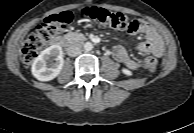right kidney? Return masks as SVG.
<instances>
[{"label":"right kidney","mask_w":194,"mask_h":133,"mask_svg":"<svg viewBox=\"0 0 194 133\" xmlns=\"http://www.w3.org/2000/svg\"><path fill=\"white\" fill-rule=\"evenodd\" d=\"M64 65L63 51L59 45H52L40 53L32 64V74L40 81L57 77Z\"/></svg>","instance_id":"ca27d5eb"}]
</instances>
